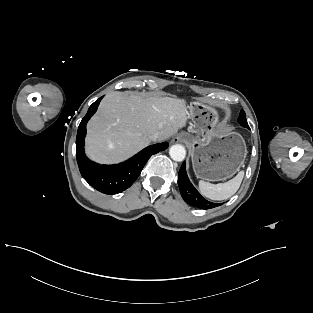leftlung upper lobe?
<instances>
[{
    "label": "left lung upper lobe",
    "instance_id": "5c2ea615",
    "mask_svg": "<svg viewBox=\"0 0 313 313\" xmlns=\"http://www.w3.org/2000/svg\"><path fill=\"white\" fill-rule=\"evenodd\" d=\"M238 122L240 123L241 126H243L245 128H249L247 120H246V114L243 110H241V112H240Z\"/></svg>",
    "mask_w": 313,
    "mask_h": 313
}]
</instances>
